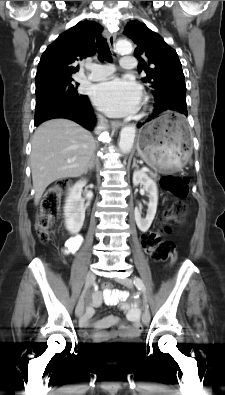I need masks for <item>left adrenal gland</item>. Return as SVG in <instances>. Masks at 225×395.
Masks as SVG:
<instances>
[{"label": "left adrenal gland", "mask_w": 225, "mask_h": 395, "mask_svg": "<svg viewBox=\"0 0 225 395\" xmlns=\"http://www.w3.org/2000/svg\"><path fill=\"white\" fill-rule=\"evenodd\" d=\"M134 167L138 168V165H137V163H136V158L133 159L132 168H134Z\"/></svg>", "instance_id": "left-adrenal-gland-1"}]
</instances>
